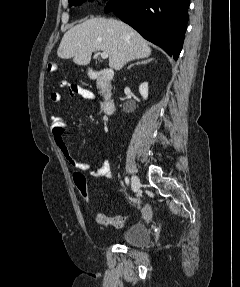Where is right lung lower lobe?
Instances as JSON below:
<instances>
[{
	"label": "right lung lower lobe",
	"mask_w": 240,
	"mask_h": 287,
	"mask_svg": "<svg viewBox=\"0 0 240 287\" xmlns=\"http://www.w3.org/2000/svg\"><path fill=\"white\" fill-rule=\"evenodd\" d=\"M189 0H110L105 12H114L145 39L177 60L188 22Z\"/></svg>",
	"instance_id": "1"
}]
</instances>
